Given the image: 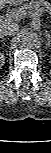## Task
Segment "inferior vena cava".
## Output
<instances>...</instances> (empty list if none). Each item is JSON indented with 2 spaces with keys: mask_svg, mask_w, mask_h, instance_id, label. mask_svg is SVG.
<instances>
[{
  "mask_svg": "<svg viewBox=\"0 0 51 153\" xmlns=\"http://www.w3.org/2000/svg\"><path fill=\"white\" fill-rule=\"evenodd\" d=\"M18 30V24L10 20L2 22L0 25L1 36H13L17 33Z\"/></svg>",
  "mask_w": 51,
  "mask_h": 153,
  "instance_id": "602c4592",
  "label": "inferior vena cava"
}]
</instances>
